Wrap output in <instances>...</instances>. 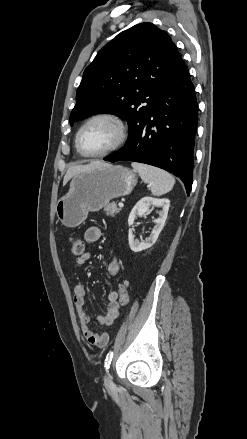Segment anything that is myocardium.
I'll return each mask as SVG.
<instances>
[{"label":"myocardium","instance_id":"1","mask_svg":"<svg viewBox=\"0 0 247 439\" xmlns=\"http://www.w3.org/2000/svg\"><path fill=\"white\" fill-rule=\"evenodd\" d=\"M96 120H108L111 121L117 128V139L114 142L113 145H111L109 148L101 151V152H97V153H86L83 151L81 144H80V139H81V135L84 131V129L92 122L96 121ZM128 127L125 123V121L117 114L114 113H110V112H102V113H97L92 115L91 117H89L83 124L82 126L79 128L77 134H76V138H75V145L76 148L78 150V152L84 156V157H88V158H97V157H102L105 156L111 152L116 151L117 149H119L120 147H122L125 142L128 139Z\"/></svg>","mask_w":247,"mask_h":439}]
</instances>
